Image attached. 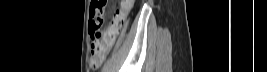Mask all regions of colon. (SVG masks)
I'll return each mask as SVG.
<instances>
[{
    "instance_id": "1",
    "label": "colon",
    "mask_w": 267,
    "mask_h": 72,
    "mask_svg": "<svg viewBox=\"0 0 267 72\" xmlns=\"http://www.w3.org/2000/svg\"><path fill=\"white\" fill-rule=\"evenodd\" d=\"M106 4L107 0H95L91 12L89 32L94 41L91 46L89 63L93 69L100 67L103 63L118 33V26L116 24H112L105 31H102L103 13Z\"/></svg>"
}]
</instances>
